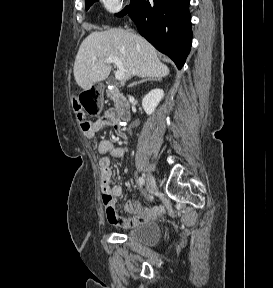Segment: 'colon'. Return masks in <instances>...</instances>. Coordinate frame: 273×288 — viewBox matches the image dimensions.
Masks as SVG:
<instances>
[{
    "instance_id": "1",
    "label": "colon",
    "mask_w": 273,
    "mask_h": 288,
    "mask_svg": "<svg viewBox=\"0 0 273 288\" xmlns=\"http://www.w3.org/2000/svg\"><path fill=\"white\" fill-rule=\"evenodd\" d=\"M73 107L82 129H88L90 126L88 117L99 114L102 108L99 90L91 89L80 93L74 97Z\"/></svg>"
}]
</instances>
